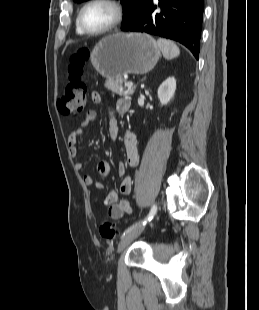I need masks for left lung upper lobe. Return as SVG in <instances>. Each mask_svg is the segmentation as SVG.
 Instances as JSON below:
<instances>
[{"label":"left lung upper lobe","mask_w":259,"mask_h":310,"mask_svg":"<svg viewBox=\"0 0 259 310\" xmlns=\"http://www.w3.org/2000/svg\"><path fill=\"white\" fill-rule=\"evenodd\" d=\"M80 3L87 0H73ZM150 0H121L125 9V17L123 24H127L139 17Z\"/></svg>","instance_id":"obj_1"}]
</instances>
